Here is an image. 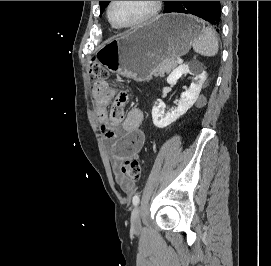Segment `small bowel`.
<instances>
[{
  "label": "small bowel",
  "instance_id": "small-bowel-1",
  "mask_svg": "<svg viewBox=\"0 0 271 266\" xmlns=\"http://www.w3.org/2000/svg\"><path fill=\"white\" fill-rule=\"evenodd\" d=\"M92 94L95 100V113L101 123L102 132L106 138L114 142L116 158L112 169L115 179L123 191L130 192L134 182L120 173L119 164L123 159L136 155L144 144V135L140 130L143 112L136 107L126 112L128 98L121 99L115 90L107 86H95ZM120 130L122 133L119 137Z\"/></svg>",
  "mask_w": 271,
  "mask_h": 266
}]
</instances>
